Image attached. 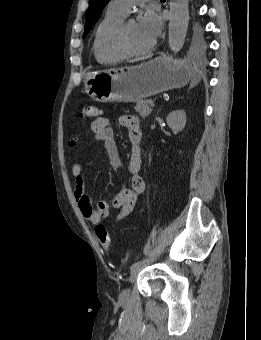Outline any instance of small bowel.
<instances>
[{
    "label": "small bowel",
    "mask_w": 261,
    "mask_h": 340,
    "mask_svg": "<svg viewBox=\"0 0 261 340\" xmlns=\"http://www.w3.org/2000/svg\"><path fill=\"white\" fill-rule=\"evenodd\" d=\"M119 122L121 126L127 130L131 142L130 156L127 164L128 172L131 174V185L116 195L111 205L105 201H100L96 204L93 203L91 197L86 192V180L81 164L75 162L72 165V176L75 181V197L83 217L92 224H98L102 219L106 218L111 208L118 210L117 219H123L128 216L133 211L139 196L145 190V182L139 175L142 161L140 147L142 133L139 120L135 116L125 115L120 117ZM91 130L95 134L96 139L102 143L110 166L113 169H117L120 165V155L115 134L109 120L104 116L96 118L91 124ZM76 142V138L72 139L69 142V147H74Z\"/></svg>",
    "instance_id": "1"
}]
</instances>
